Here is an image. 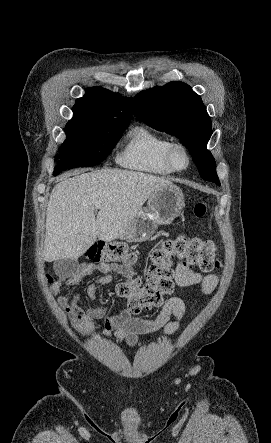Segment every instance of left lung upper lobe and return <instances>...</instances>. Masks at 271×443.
I'll list each match as a JSON object with an SVG mask.
<instances>
[{
    "label": "left lung upper lobe",
    "mask_w": 271,
    "mask_h": 443,
    "mask_svg": "<svg viewBox=\"0 0 271 443\" xmlns=\"http://www.w3.org/2000/svg\"><path fill=\"white\" fill-rule=\"evenodd\" d=\"M134 114L152 128L181 139L191 151L200 176L220 185L215 160L206 149L212 134L211 119L201 97L189 85L170 82L140 92L134 100Z\"/></svg>",
    "instance_id": "1"
}]
</instances>
